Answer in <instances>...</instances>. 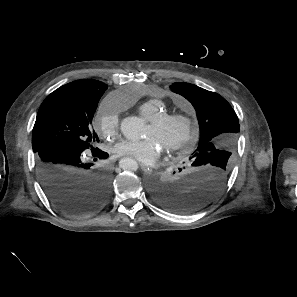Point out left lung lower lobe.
Listing matches in <instances>:
<instances>
[{
	"label": "left lung lower lobe",
	"instance_id": "0a47b994",
	"mask_svg": "<svg viewBox=\"0 0 297 297\" xmlns=\"http://www.w3.org/2000/svg\"><path fill=\"white\" fill-rule=\"evenodd\" d=\"M172 182H153L151 192L160 206L177 212L193 213L208 206L227 183L229 171L215 161L191 159Z\"/></svg>",
	"mask_w": 297,
	"mask_h": 297
}]
</instances>
